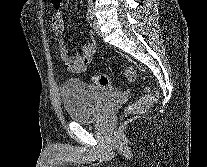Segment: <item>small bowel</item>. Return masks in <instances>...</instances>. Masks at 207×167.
I'll list each match as a JSON object with an SVG mask.
<instances>
[{"instance_id": "1", "label": "small bowel", "mask_w": 207, "mask_h": 167, "mask_svg": "<svg viewBox=\"0 0 207 167\" xmlns=\"http://www.w3.org/2000/svg\"><path fill=\"white\" fill-rule=\"evenodd\" d=\"M55 12L51 18L52 31L58 39L61 60L69 73H82L86 70L87 65L91 62L95 47L92 43H85L79 53L70 54L65 41L61 38L64 32V20L61 12L62 0H51Z\"/></svg>"}]
</instances>
